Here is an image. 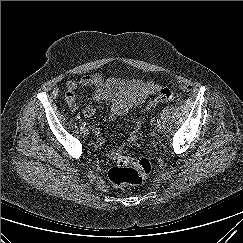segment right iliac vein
I'll use <instances>...</instances> for the list:
<instances>
[{
  "label": "right iliac vein",
  "instance_id": "1",
  "mask_svg": "<svg viewBox=\"0 0 243 243\" xmlns=\"http://www.w3.org/2000/svg\"><path fill=\"white\" fill-rule=\"evenodd\" d=\"M80 132H81V134H83V135H88V134H89V130H88L87 127H82V128L80 129Z\"/></svg>",
  "mask_w": 243,
  "mask_h": 243
}]
</instances>
